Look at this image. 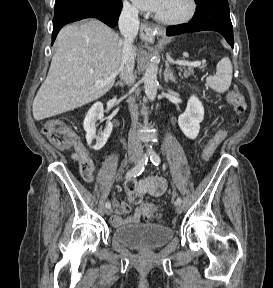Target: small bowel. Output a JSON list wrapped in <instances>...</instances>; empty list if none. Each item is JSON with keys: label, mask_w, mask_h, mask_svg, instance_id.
Listing matches in <instances>:
<instances>
[{"label": "small bowel", "mask_w": 273, "mask_h": 288, "mask_svg": "<svg viewBox=\"0 0 273 288\" xmlns=\"http://www.w3.org/2000/svg\"><path fill=\"white\" fill-rule=\"evenodd\" d=\"M73 158L80 165V173L84 181L91 183L94 180L95 165L86 148L80 141L74 145ZM125 182V190L128 196L129 203L135 205V210L132 215L130 205L125 202L113 200L114 215L111 222L114 226L124 224H132L140 222L142 216H145L141 206H139L144 195L159 197L163 195L167 189V182L162 177L147 176L140 181H136L133 177H128Z\"/></svg>", "instance_id": "small-bowel-1"}]
</instances>
